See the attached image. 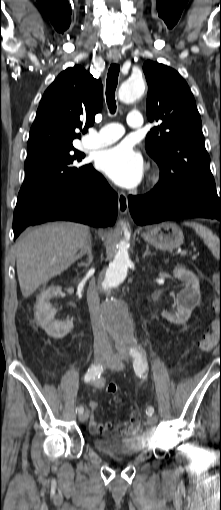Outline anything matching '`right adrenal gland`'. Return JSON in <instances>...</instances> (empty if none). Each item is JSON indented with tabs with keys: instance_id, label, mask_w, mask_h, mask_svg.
<instances>
[{
	"instance_id": "1",
	"label": "right adrenal gland",
	"mask_w": 221,
	"mask_h": 510,
	"mask_svg": "<svg viewBox=\"0 0 221 510\" xmlns=\"http://www.w3.org/2000/svg\"><path fill=\"white\" fill-rule=\"evenodd\" d=\"M79 256H77L76 258H78ZM92 261V254L91 252L88 253V258H87V262H80L78 263L79 266H83V267H87Z\"/></svg>"
}]
</instances>
